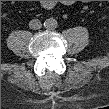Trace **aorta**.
<instances>
[{
	"instance_id": "762f6f07",
	"label": "aorta",
	"mask_w": 109,
	"mask_h": 109,
	"mask_svg": "<svg viewBox=\"0 0 109 109\" xmlns=\"http://www.w3.org/2000/svg\"><path fill=\"white\" fill-rule=\"evenodd\" d=\"M58 22L54 18H49L44 22V26L46 29L53 30L57 28Z\"/></svg>"
}]
</instances>
